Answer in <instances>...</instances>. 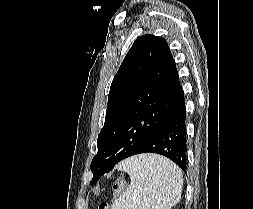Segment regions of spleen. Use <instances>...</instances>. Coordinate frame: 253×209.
<instances>
[{
    "instance_id": "spleen-1",
    "label": "spleen",
    "mask_w": 253,
    "mask_h": 209,
    "mask_svg": "<svg viewBox=\"0 0 253 209\" xmlns=\"http://www.w3.org/2000/svg\"><path fill=\"white\" fill-rule=\"evenodd\" d=\"M117 168L130 175L131 183L112 209H171L180 201L182 172L169 159L140 154L122 161Z\"/></svg>"
}]
</instances>
